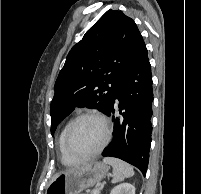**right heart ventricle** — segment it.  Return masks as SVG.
<instances>
[{
  "instance_id": "right-heart-ventricle-1",
  "label": "right heart ventricle",
  "mask_w": 201,
  "mask_h": 194,
  "mask_svg": "<svg viewBox=\"0 0 201 194\" xmlns=\"http://www.w3.org/2000/svg\"><path fill=\"white\" fill-rule=\"evenodd\" d=\"M70 122H67L64 127L62 128L59 136H58V140H57V145H58V151H59V155H60V160L62 162L63 165L65 166H74L77 165L80 161L74 160L72 159L65 151L64 148V137H65V133L67 130V127L69 125Z\"/></svg>"
}]
</instances>
